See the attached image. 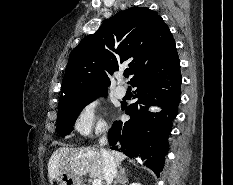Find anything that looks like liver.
I'll return each instance as SVG.
<instances>
[{
	"label": "liver",
	"instance_id": "liver-1",
	"mask_svg": "<svg viewBox=\"0 0 233 185\" xmlns=\"http://www.w3.org/2000/svg\"><path fill=\"white\" fill-rule=\"evenodd\" d=\"M117 165L126 158L121 152L110 151ZM68 172L77 177L89 174L92 178L104 179L103 158L95 148L60 147L53 152L48 162V177L50 182L60 172Z\"/></svg>",
	"mask_w": 233,
	"mask_h": 185
}]
</instances>
